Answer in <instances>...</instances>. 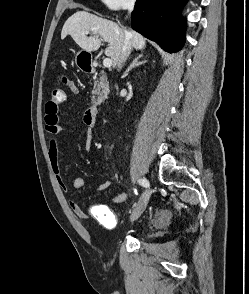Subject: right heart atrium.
Wrapping results in <instances>:
<instances>
[{
    "mask_svg": "<svg viewBox=\"0 0 249 294\" xmlns=\"http://www.w3.org/2000/svg\"><path fill=\"white\" fill-rule=\"evenodd\" d=\"M105 6L112 10L131 8L136 0H101Z\"/></svg>",
    "mask_w": 249,
    "mask_h": 294,
    "instance_id": "d8ad5b80",
    "label": "right heart atrium"
}]
</instances>
